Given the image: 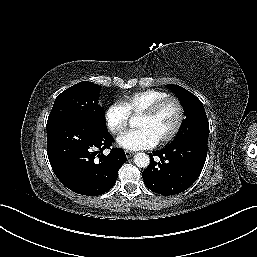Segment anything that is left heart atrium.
Wrapping results in <instances>:
<instances>
[{"label": "left heart atrium", "mask_w": 257, "mask_h": 257, "mask_svg": "<svg viewBox=\"0 0 257 257\" xmlns=\"http://www.w3.org/2000/svg\"><path fill=\"white\" fill-rule=\"evenodd\" d=\"M158 139L147 129L128 131L118 138V143L129 150L149 149L158 144Z\"/></svg>", "instance_id": "left-heart-atrium-1"}]
</instances>
